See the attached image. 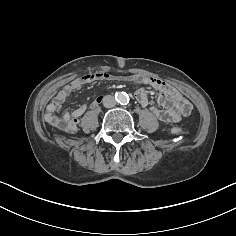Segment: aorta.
<instances>
[{
  "label": "aorta",
  "instance_id": "1",
  "mask_svg": "<svg viewBox=\"0 0 236 236\" xmlns=\"http://www.w3.org/2000/svg\"><path fill=\"white\" fill-rule=\"evenodd\" d=\"M117 100L120 104H127L129 102V97L127 94L121 93L118 95Z\"/></svg>",
  "mask_w": 236,
  "mask_h": 236
}]
</instances>
